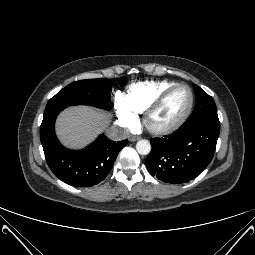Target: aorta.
Wrapping results in <instances>:
<instances>
[{
	"instance_id": "1",
	"label": "aorta",
	"mask_w": 255,
	"mask_h": 255,
	"mask_svg": "<svg viewBox=\"0 0 255 255\" xmlns=\"http://www.w3.org/2000/svg\"><path fill=\"white\" fill-rule=\"evenodd\" d=\"M136 150L140 155H147L151 151V144L148 140H139L136 143Z\"/></svg>"
}]
</instances>
